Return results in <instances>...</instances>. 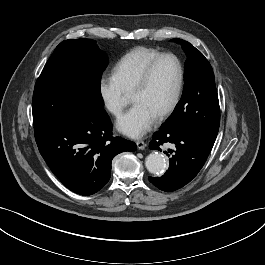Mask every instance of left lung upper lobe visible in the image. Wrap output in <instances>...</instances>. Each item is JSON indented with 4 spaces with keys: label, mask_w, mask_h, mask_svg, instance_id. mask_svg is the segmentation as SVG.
Returning a JSON list of instances; mask_svg holds the SVG:
<instances>
[{
    "label": "left lung upper lobe",
    "mask_w": 265,
    "mask_h": 265,
    "mask_svg": "<svg viewBox=\"0 0 265 265\" xmlns=\"http://www.w3.org/2000/svg\"><path fill=\"white\" fill-rule=\"evenodd\" d=\"M179 43L187 55L184 89L181 100L160 130H183L194 133L208 145H214L220 125V108L214 73L204 55L189 42Z\"/></svg>",
    "instance_id": "1"
}]
</instances>
